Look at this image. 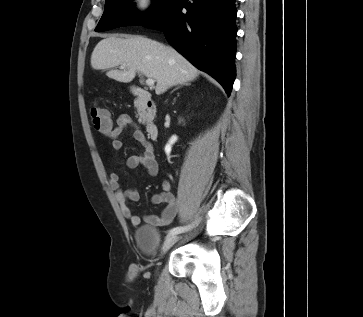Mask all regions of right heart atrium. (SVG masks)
Here are the masks:
<instances>
[{
    "label": "right heart atrium",
    "mask_w": 363,
    "mask_h": 317,
    "mask_svg": "<svg viewBox=\"0 0 363 317\" xmlns=\"http://www.w3.org/2000/svg\"><path fill=\"white\" fill-rule=\"evenodd\" d=\"M131 8L134 12L139 14L148 13L154 6L153 0H132Z\"/></svg>",
    "instance_id": "right-heart-atrium-1"
}]
</instances>
